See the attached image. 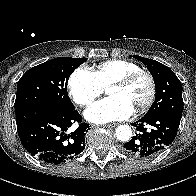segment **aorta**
I'll list each match as a JSON object with an SVG mask.
<instances>
[{
	"label": "aorta",
	"mask_w": 196,
	"mask_h": 196,
	"mask_svg": "<svg viewBox=\"0 0 196 196\" xmlns=\"http://www.w3.org/2000/svg\"><path fill=\"white\" fill-rule=\"evenodd\" d=\"M115 135L119 141H128L132 137V129L128 125H120L116 128Z\"/></svg>",
	"instance_id": "1"
}]
</instances>
